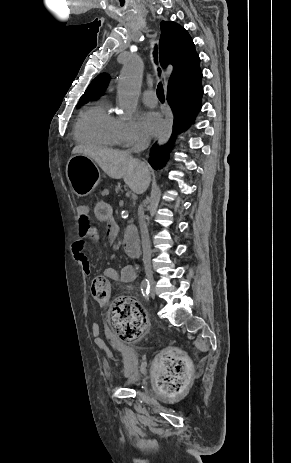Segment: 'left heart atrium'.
Listing matches in <instances>:
<instances>
[{
	"instance_id": "1",
	"label": "left heart atrium",
	"mask_w": 291,
	"mask_h": 463,
	"mask_svg": "<svg viewBox=\"0 0 291 463\" xmlns=\"http://www.w3.org/2000/svg\"><path fill=\"white\" fill-rule=\"evenodd\" d=\"M141 126L146 135H157L165 128V123L159 113L147 111L141 116Z\"/></svg>"
}]
</instances>
